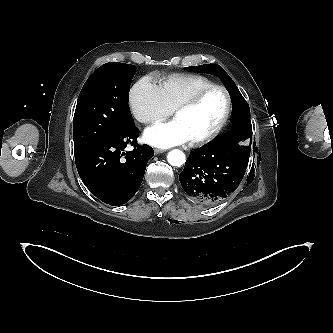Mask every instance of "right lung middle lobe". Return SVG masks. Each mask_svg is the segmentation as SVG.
Returning a JSON list of instances; mask_svg holds the SVG:
<instances>
[{"instance_id":"obj_1","label":"right lung middle lobe","mask_w":333,"mask_h":333,"mask_svg":"<svg viewBox=\"0 0 333 333\" xmlns=\"http://www.w3.org/2000/svg\"><path fill=\"white\" fill-rule=\"evenodd\" d=\"M136 69L135 65L111 62L99 67L88 78L74 114L75 156L119 136L134 124L128 94Z\"/></svg>"}]
</instances>
